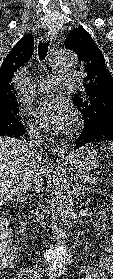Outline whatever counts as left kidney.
Returning <instances> with one entry per match:
<instances>
[{"instance_id": "5707ae66", "label": "left kidney", "mask_w": 113, "mask_h": 279, "mask_svg": "<svg viewBox=\"0 0 113 279\" xmlns=\"http://www.w3.org/2000/svg\"><path fill=\"white\" fill-rule=\"evenodd\" d=\"M106 220H108L106 213L101 212L99 222L96 223V227H97L98 231H100V233H101V231H106L108 229V225H107L108 222H106ZM100 233H98V235Z\"/></svg>"}]
</instances>
